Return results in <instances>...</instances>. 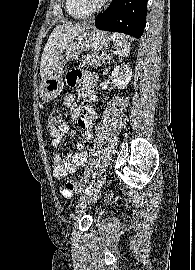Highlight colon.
Returning <instances> with one entry per match:
<instances>
[{"mask_svg": "<svg viewBox=\"0 0 195 270\" xmlns=\"http://www.w3.org/2000/svg\"><path fill=\"white\" fill-rule=\"evenodd\" d=\"M61 120H62L61 112L59 110H53L47 118L48 127L50 128L57 126L61 122ZM65 189L69 192L72 191L80 192L82 190V185L74 181H67L65 183Z\"/></svg>", "mask_w": 195, "mask_h": 270, "instance_id": "colon-1", "label": "colon"}]
</instances>
